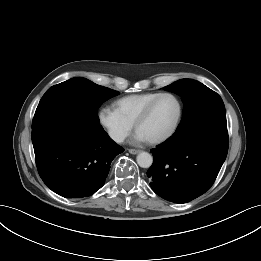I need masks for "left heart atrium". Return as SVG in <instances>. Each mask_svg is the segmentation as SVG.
<instances>
[{
    "label": "left heart atrium",
    "mask_w": 261,
    "mask_h": 261,
    "mask_svg": "<svg viewBox=\"0 0 261 261\" xmlns=\"http://www.w3.org/2000/svg\"><path fill=\"white\" fill-rule=\"evenodd\" d=\"M134 141L138 143L146 142L148 141L140 132H136L134 136Z\"/></svg>",
    "instance_id": "obj_1"
}]
</instances>
